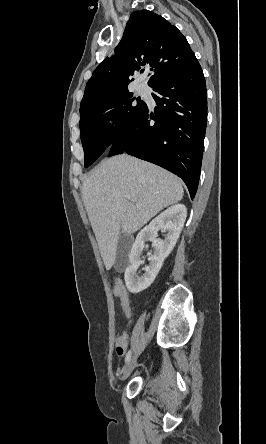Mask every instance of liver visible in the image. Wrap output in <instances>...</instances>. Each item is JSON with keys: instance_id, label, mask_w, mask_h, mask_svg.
Segmentation results:
<instances>
[{"instance_id": "6515ba94", "label": "liver", "mask_w": 266, "mask_h": 444, "mask_svg": "<svg viewBox=\"0 0 266 444\" xmlns=\"http://www.w3.org/2000/svg\"><path fill=\"white\" fill-rule=\"evenodd\" d=\"M182 198L179 179L149 162L121 154L96 166L83 183L82 199L106 269L115 263L121 233L136 232Z\"/></svg>"}]
</instances>
